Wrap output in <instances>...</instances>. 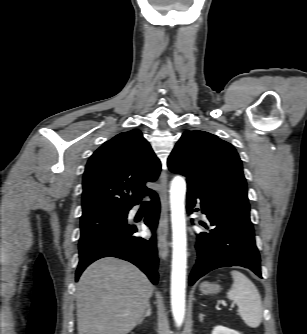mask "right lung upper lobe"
I'll return each instance as SVG.
<instances>
[{
  "instance_id": "1",
  "label": "right lung upper lobe",
  "mask_w": 307,
  "mask_h": 334,
  "mask_svg": "<svg viewBox=\"0 0 307 334\" xmlns=\"http://www.w3.org/2000/svg\"><path fill=\"white\" fill-rule=\"evenodd\" d=\"M160 169L159 159L140 130L116 135L88 160L83 176L82 216L128 212L152 191L145 183L155 181Z\"/></svg>"
}]
</instances>
